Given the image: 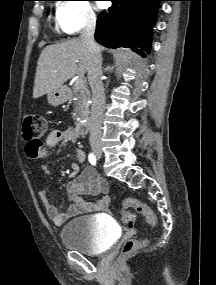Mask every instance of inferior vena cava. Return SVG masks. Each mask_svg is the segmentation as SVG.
I'll list each match as a JSON object with an SVG mask.
<instances>
[{"mask_svg":"<svg viewBox=\"0 0 216 285\" xmlns=\"http://www.w3.org/2000/svg\"><path fill=\"white\" fill-rule=\"evenodd\" d=\"M96 17H87L80 38L85 41L89 53L88 81L92 90V107L90 116V144L99 143L102 135V117L105 105V93L102 82V57L100 48L94 40Z\"/></svg>","mask_w":216,"mask_h":285,"instance_id":"inferior-vena-cava-1","label":"inferior vena cava"}]
</instances>
